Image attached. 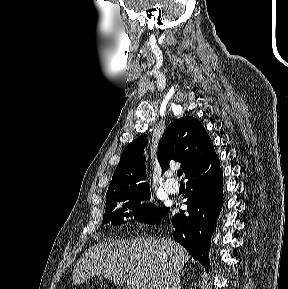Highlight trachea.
I'll list each match as a JSON object with an SVG mask.
<instances>
[{
	"mask_svg": "<svg viewBox=\"0 0 288 289\" xmlns=\"http://www.w3.org/2000/svg\"><path fill=\"white\" fill-rule=\"evenodd\" d=\"M182 174H183V171L179 169V170L177 171V176H182Z\"/></svg>",
	"mask_w": 288,
	"mask_h": 289,
	"instance_id": "3493384b",
	"label": "trachea"
}]
</instances>
